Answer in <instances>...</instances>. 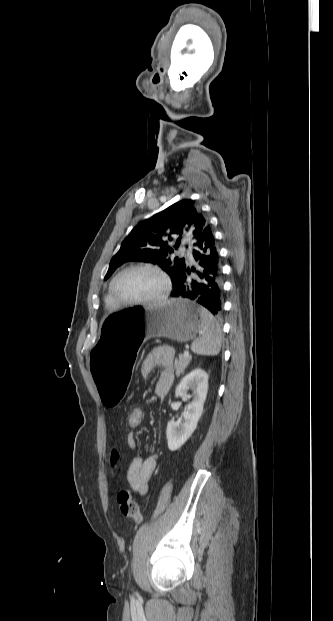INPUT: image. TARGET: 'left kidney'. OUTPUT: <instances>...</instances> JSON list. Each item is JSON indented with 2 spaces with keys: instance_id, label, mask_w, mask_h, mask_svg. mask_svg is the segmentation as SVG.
<instances>
[{
  "instance_id": "obj_1",
  "label": "left kidney",
  "mask_w": 333,
  "mask_h": 621,
  "mask_svg": "<svg viewBox=\"0 0 333 621\" xmlns=\"http://www.w3.org/2000/svg\"><path fill=\"white\" fill-rule=\"evenodd\" d=\"M194 391L195 397L184 410L177 422L169 421L166 429L168 448L178 450L192 435L203 413V405L208 391V374L197 368L187 374L176 388L175 395L187 400L186 390Z\"/></svg>"
}]
</instances>
